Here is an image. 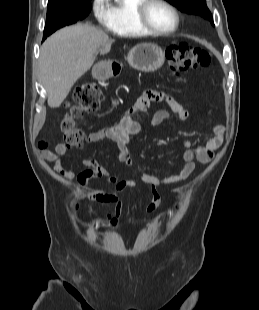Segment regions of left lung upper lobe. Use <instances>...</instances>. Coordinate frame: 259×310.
Wrapping results in <instances>:
<instances>
[{"mask_svg":"<svg viewBox=\"0 0 259 310\" xmlns=\"http://www.w3.org/2000/svg\"><path fill=\"white\" fill-rule=\"evenodd\" d=\"M176 6L182 12L199 15L211 21L214 26L213 17L206 6V0H166Z\"/></svg>","mask_w":259,"mask_h":310,"instance_id":"obj_1","label":"left lung upper lobe"}]
</instances>
